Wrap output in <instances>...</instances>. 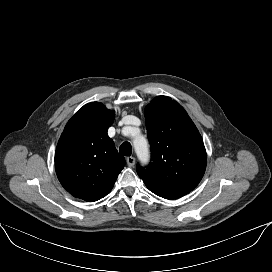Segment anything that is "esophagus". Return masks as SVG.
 <instances>
[{
	"mask_svg": "<svg viewBox=\"0 0 272 272\" xmlns=\"http://www.w3.org/2000/svg\"><path fill=\"white\" fill-rule=\"evenodd\" d=\"M126 161H127L128 166H130V167H133L135 165V158L132 156L127 157Z\"/></svg>",
	"mask_w": 272,
	"mask_h": 272,
	"instance_id": "1",
	"label": "esophagus"
}]
</instances>
